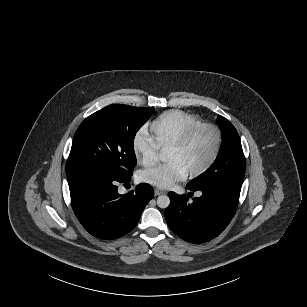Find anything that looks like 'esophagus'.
<instances>
[{"label":"esophagus","instance_id":"obj_1","mask_svg":"<svg viewBox=\"0 0 307 307\" xmlns=\"http://www.w3.org/2000/svg\"><path fill=\"white\" fill-rule=\"evenodd\" d=\"M154 194H155V196L162 195V194H165V191L160 190V189H155Z\"/></svg>","mask_w":307,"mask_h":307}]
</instances>
